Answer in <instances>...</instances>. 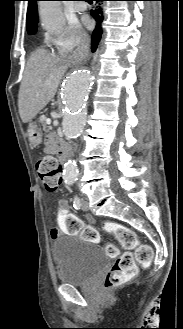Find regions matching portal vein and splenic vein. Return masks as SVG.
Here are the masks:
<instances>
[{
    "label": "portal vein and splenic vein",
    "instance_id": "portal-vein-and-splenic-vein-1",
    "mask_svg": "<svg viewBox=\"0 0 183 329\" xmlns=\"http://www.w3.org/2000/svg\"><path fill=\"white\" fill-rule=\"evenodd\" d=\"M46 123H47L48 125H50V124H51V119H46Z\"/></svg>",
    "mask_w": 183,
    "mask_h": 329
}]
</instances>
